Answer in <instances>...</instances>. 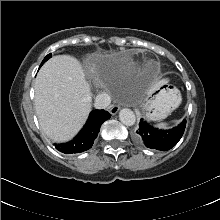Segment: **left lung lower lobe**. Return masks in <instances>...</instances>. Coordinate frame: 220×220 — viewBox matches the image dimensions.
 Masks as SVG:
<instances>
[{
    "label": "left lung lower lobe",
    "instance_id": "left-lung-lower-lobe-1",
    "mask_svg": "<svg viewBox=\"0 0 220 220\" xmlns=\"http://www.w3.org/2000/svg\"><path fill=\"white\" fill-rule=\"evenodd\" d=\"M139 125V129L136 131L138 142L151 149L167 151L174 147L181 139L185 130L186 120H183L180 125L170 130L153 128L143 120H141Z\"/></svg>",
    "mask_w": 220,
    "mask_h": 220
}]
</instances>
